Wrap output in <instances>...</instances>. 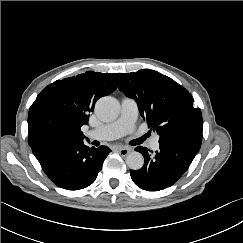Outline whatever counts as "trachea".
<instances>
[{"label":"trachea","mask_w":243,"mask_h":243,"mask_svg":"<svg viewBox=\"0 0 243 243\" xmlns=\"http://www.w3.org/2000/svg\"><path fill=\"white\" fill-rule=\"evenodd\" d=\"M147 137H148L147 135H144L143 137L138 139V142L142 143Z\"/></svg>","instance_id":"trachea-1"}]
</instances>
